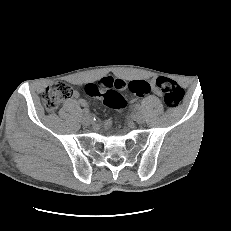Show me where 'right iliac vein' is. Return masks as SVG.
I'll use <instances>...</instances> for the list:
<instances>
[{
	"mask_svg": "<svg viewBox=\"0 0 231 231\" xmlns=\"http://www.w3.org/2000/svg\"><path fill=\"white\" fill-rule=\"evenodd\" d=\"M83 122H84V124H86V125L91 124V122H92L91 116H90V115H85L84 118H83Z\"/></svg>",
	"mask_w": 231,
	"mask_h": 231,
	"instance_id": "right-iliac-vein-1",
	"label": "right iliac vein"
}]
</instances>
